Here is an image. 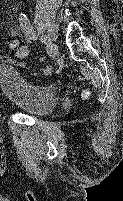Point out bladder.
<instances>
[{"mask_svg": "<svg viewBox=\"0 0 123 201\" xmlns=\"http://www.w3.org/2000/svg\"><path fill=\"white\" fill-rule=\"evenodd\" d=\"M0 86L11 105L29 115H48L57 105L53 87L26 79L11 64L0 65Z\"/></svg>", "mask_w": 123, "mask_h": 201, "instance_id": "31cf9c89", "label": "bladder"}]
</instances>
